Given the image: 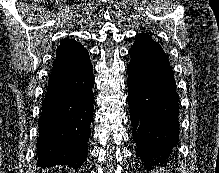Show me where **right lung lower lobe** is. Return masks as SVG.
Wrapping results in <instances>:
<instances>
[{"mask_svg": "<svg viewBox=\"0 0 219 173\" xmlns=\"http://www.w3.org/2000/svg\"><path fill=\"white\" fill-rule=\"evenodd\" d=\"M93 67L88 52L71 61L55 59L38 120V165L84 163L93 119Z\"/></svg>", "mask_w": 219, "mask_h": 173, "instance_id": "obj_1", "label": "right lung lower lobe"}]
</instances>
